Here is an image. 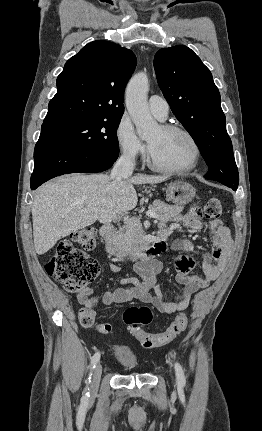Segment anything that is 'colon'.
Segmentation results:
<instances>
[{"label": "colon", "instance_id": "colon-1", "mask_svg": "<svg viewBox=\"0 0 262 431\" xmlns=\"http://www.w3.org/2000/svg\"><path fill=\"white\" fill-rule=\"evenodd\" d=\"M222 210V204L216 197L209 198L203 208L205 217L210 220H217L221 216ZM95 234L93 227L74 232L70 238L63 240L58 245L56 253L44 265L47 274L61 283L68 292L73 293L85 289L99 273L98 262L86 256L74 245L77 244L84 249L95 248ZM79 320L86 328L97 327L102 333H108L111 330L110 325L97 322L95 317L87 311L80 312ZM123 320L127 328L145 348L161 346L172 341L186 329L188 323L187 316L180 313L165 331L155 334L145 332L140 325L148 324L152 320V312L146 306L126 309Z\"/></svg>", "mask_w": 262, "mask_h": 431}]
</instances>
